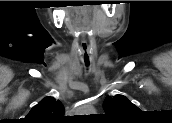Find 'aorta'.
I'll return each instance as SVG.
<instances>
[{"instance_id":"obj_1","label":"aorta","mask_w":172,"mask_h":123,"mask_svg":"<svg viewBox=\"0 0 172 123\" xmlns=\"http://www.w3.org/2000/svg\"><path fill=\"white\" fill-rule=\"evenodd\" d=\"M84 110L85 112H92L93 108L91 106H86Z\"/></svg>"}]
</instances>
